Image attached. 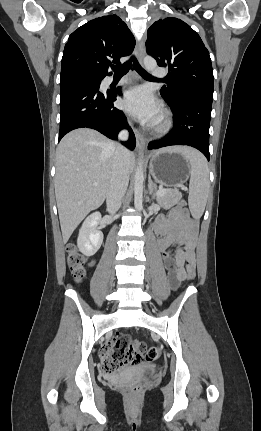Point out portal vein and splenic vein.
Instances as JSON below:
<instances>
[{
    "instance_id": "obj_1",
    "label": "portal vein and splenic vein",
    "mask_w": 261,
    "mask_h": 431,
    "mask_svg": "<svg viewBox=\"0 0 261 431\" xmlns=\"http://www.w3.org/2000/svg\"><path fill=\"white\" fill-rule=\"evenodd\" d=\"M93 185L98 186V183L95 182V183H93ZM165 192H166V189L161 188L160 190L157 191L156 195L160 196V195L164 194Z\"/></svg>"
}]
</instances>
